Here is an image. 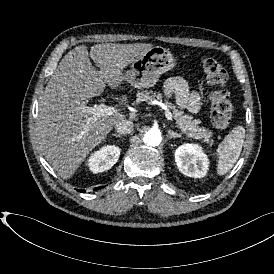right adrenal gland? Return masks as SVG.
Returning <instances> with one entry per match:
<instances>
[{"label": "right adrenal gland", "instance_id": "right-adrenal-gland-1", "mask_svg": "<svg viewBox=\"0 0 274 274\" xmlns=\"http://www.w3.org/2000/svg\"><path fill=\"white\" fill-rule=\"evenodd\" d=\"M112 136H113V137H116V139H120V138L122 137L121 135H119V134H115V133H114V134H112Z\"/></svg>", "mask_w": 274, "mask_h": 274}]
</instances>
